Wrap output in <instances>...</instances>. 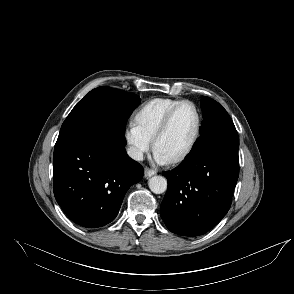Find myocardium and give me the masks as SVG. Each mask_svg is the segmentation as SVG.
Instances as JSON below:
<instances>
[{"instance_id": "myocardium-1", "label": "myocardium", "mask_w": 294, "mask_h": 294, "mask_svg": "<svg viewBox=\"0 0 294 294\" xmlns=\"http://www.w3.org/2000/svg\"><path fill=\"white\" fill-rule=\"evenodd\" d=\"M184 105H190L193 107V109L196 113V117H197L196 128H195L193 136H192L189 144L187 145V147L179 155H177L176 157H174L168 161L171 164H176V163H179V162H182L183 160H185L189 156V154L192 152V150L194 149V147L200 137L201 130H202V124H203V118H202L201 111H200L199 107L197 106V104L191 100H181L180 102H178L175 106H173L167 112V114L163 118L160 126L158 127V129L153 137V148L156 149V145H157L158 141L162 138V136L169 129L174 115Z\"/></svg>"}]
</instances>
